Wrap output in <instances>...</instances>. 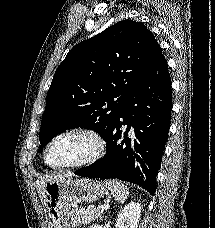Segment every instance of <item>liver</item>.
Masks as SVG:
<instances>
[{"mask_svg":"<svg viewBox=\"0 0 215 228\" xmlns=\"http://www.w3.org/2000/svg\"><path fill=\"white\" fill-rule=\"evenodd\" d=\"M60 178H66V176H41V178H38L36 182V188H37L38 196L43 206H45V208H46V200H45L46 184H48V182H56V180H60Z\"/></svg>","mask_w":215,"mask_h":228,"instance_id":"1","label":"liver"}]
</instances>
